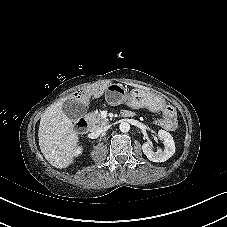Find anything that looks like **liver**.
I'll return each mask as SVG.
<instances>
[{"instance_id":"1","label":"liver","mask_w":227,"mask_h":227,"mask_svg":"<svg viewBox=\"0 0 227 227\" xmlns=\"http://www.w3.org/2000/svg\"><path fill=\"white\" fill-rule=\"evenodd\" d=\"M65 101L67 99H61L45 110L38 130L43 156L52 166L60 169L73 163V153L79 142L72 120L63 111Z\"/></svg>"}]
</instances>
